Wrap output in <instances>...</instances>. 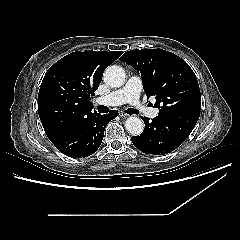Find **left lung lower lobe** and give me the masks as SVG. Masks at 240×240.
Wrapping results in <instances>:
<instances>
[{
	"instance_id": "obj_1",
	"label": "left lung lower lobe",
	"mask_w": 240,
	"mask_h": 240,
	"mask_svg": "<svg viewBox=\"0 0 240 240\" xmlns=\"http://www.w3.org/2000/svg\"><path fill=\"white\" fill-rule=\"evenodd\" d=\"M199 116L196 113L158 114L152 121L142 117L145 129L139 136H132V143L146 154L170 153L190 135Z\"/></svg>"
}]
</instances>
